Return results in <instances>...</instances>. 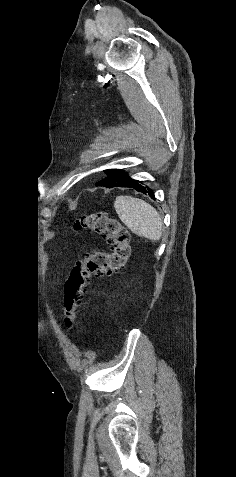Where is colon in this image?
<instances>
[{
    "label": "colon",
    "mask_w": 236,
    "mask_h": 477,
    "mask_svg": "<svg viewBox=\"0 0 236 477\" xmlns=\"http://www.w3.org/2000/svg\"><path fill=\"white\" fill-rule=\"evenodd\" d=\"M76 230L100 234L111 245L110 252L85 256L71 270L64 286V325L71 329L81 309L82 300L92 276H105L121 269L132 254L131 235L122 224L105 212L83 215L74 223Z\"/></svg>",
    "instance_id": "5ec220e1"
}]
</instances>
